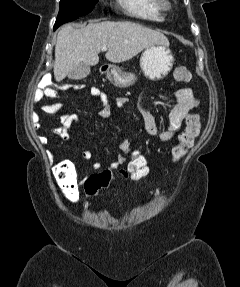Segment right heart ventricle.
Returning <instances> with one entry per match:
<instances>
[{"label":"right heart ventricle","instance_id":"e07e8e85","mask_svg":"<svg viewBox=\"0 0 240 287\" xmlns=\"http://www.w3.org/2000/svg\"><path fill=\"white\" fill-rule=\"evenodd\" d=\"M122 11L135 18L160 21L163 18L159 0H116Z\"/></svg>","mask_w":240,"mask_h":287}]
</instances>
